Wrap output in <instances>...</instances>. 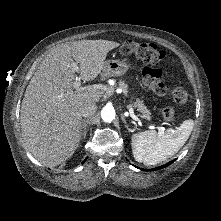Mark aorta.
Segmentation results:
<instances>
[{"label":"aorta","mask_w":221,"mask_h":221,"mask_svg":"<svg viewBox=\"0 0 221 221\" xmlns=\"http://www.w3.org/2000/svg\"><path fill=\"white\" fill-rule=\"evenodd\" d=\"M101 118L105 122H111L115 118V110L111 106H105L101 111Z\"/></svg>","instance_id":"aorta-1"}]
</instances>
